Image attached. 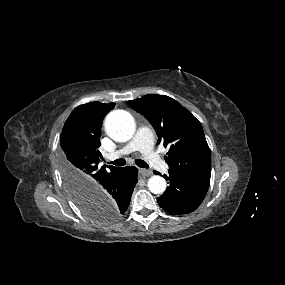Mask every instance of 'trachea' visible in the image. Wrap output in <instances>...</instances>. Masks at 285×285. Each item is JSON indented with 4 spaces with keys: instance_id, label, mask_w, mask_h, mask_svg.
I'll use <instances>...</instances> for the list:
<instances>
[{
    "instance_id": "obj_1",
    "label": "trachea",
    "mask_w": 285,
    "mask_h": 285,
    "mask_svg": "<svg viewBox=\"0 0 285 285\" xmlns=\"http://www.w3.org/2000/svg\"><path fill=\"white\" fill-rule=\"evenodd\" d=\"M109 164H113L115 166L121 167V166H124L126 164V161H125V159L120 158V159H117L113 162H109ZM135 164L141 168H148V164L141 159H136Z\"/></svg>"
}]
</instances>
